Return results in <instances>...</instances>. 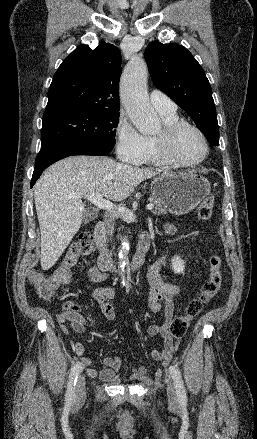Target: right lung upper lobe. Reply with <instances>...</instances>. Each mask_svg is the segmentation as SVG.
<instances>
[{
  "mask_svg": "<svg viewBox=\"0 0 257 439\" xmlns=\"http://www.w3.org/2000/svg\"><path fill=\"white\" fill-rule=\"evenodd\" d=\"M120 64L119 49L109 43L77 47L53 77L44 118L77 109H120Z\"/></svg>",
  "mask_w": 257,
  "mask_h": 439,
  "instance_id": "cb5924a9",
  "label": "right lung upper lobe"
}]
</instances>
